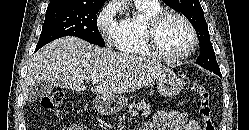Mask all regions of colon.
Instances as JSON below:
<instances>
[{"label":"colon","mask_w":249,"mask_h":130,"mask_svg":"<svg viewBox=\"0 0 249 130\" xmlns=\"http://www.w3.org/2000/svg\"><path fill=\"white\" fill-rule=\"evenodd\" d=\"M191 89L199 97V113L204 130H216L209 102V93L206 87L201 83L195 82L192 84ZM42 106L56 115L63 114L65 109L63 92L56 91L42 98Z\"/></svg>","instance_id":"5ec220e1"}]
</instances>
